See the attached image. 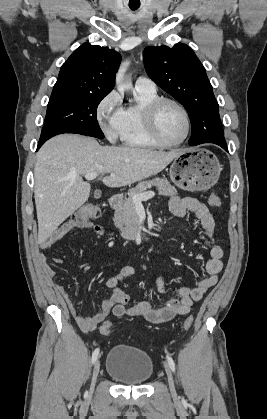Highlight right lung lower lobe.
<instances>
[{
  "label": "right lung lower lobe",
  "mask_w": 267,
  "mask_h": 419,
  "mask_svg": "<svg viewBox=\"0 0 267 419\" xmlns=\"http://www.w3.org/2000/svg\"><path fill=\"white\" fill-rule=\"evenodd\" d=\"M62 131L56 130V129H52V128H43L42 129V133L40 136V140L38 143V147L37 150L43 145L44 142H46L48 139H50L51 137L58 135V134H62Z\"/></svg>",
  "instance_id": "1"
}]
</instances>
